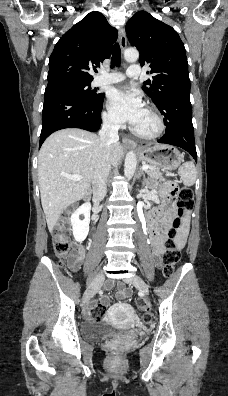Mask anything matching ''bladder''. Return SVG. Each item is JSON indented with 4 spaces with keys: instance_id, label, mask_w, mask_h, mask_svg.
Listing matches in <instances>:
<instances>
[{
    "instance_id": "obj_1",
    "label": "bladder",
    "mask_w": 228,
    "mask_h": 396,
    "mask_svg": "<svg viewBox=\"0 0 228 396\" xmlns=\"http://www.w3.org/2000/svg\"><path fill=\"white\" fill-rule=\"evenodd\" d=\"M118 332H120V330L116 327L96 321L85 323L81 329L83 338L88 341L107 339Z\"/></svg>"
}]
</instances>
